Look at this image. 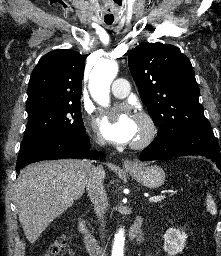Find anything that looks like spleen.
<instances>
[{
  "label": "spleen",
  "instance_id": "3e777b00",
  "mask_svg": "<svg viewBox=\"0 0 221 256\" xmlns=\"http://www.w3.org/2000/svg\"><path fill=\"white\" fill-rule=\"evenodd\" d=\"M206 204H207V210L212 215H216L217 209H216V205H215L214 200L212 199L211 195H207Z\"/></svg>",
  "mask_w": 221,
  "mask_h": 256
}]
</instances>
